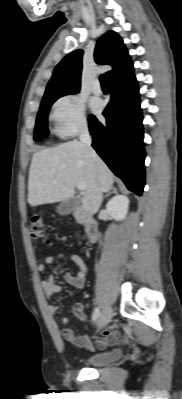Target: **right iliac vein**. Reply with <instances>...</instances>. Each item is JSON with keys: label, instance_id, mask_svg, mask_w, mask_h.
I'll list each match as a JSON object with an SVG mask.
<instances>
[{"label": "right iliac vein", "instance_id": "1", "mask_svg": "<svg viewBox=\"0 0 182 399\" xmlns=\"http://www.w3.org/2000/svg\"><path fill=\"white\" fill-rule=\"evenodd\" d=\"M112 318V310L110 307H105L100 315L99 321H98V327L102 328L106 326Z\"/></svg>", "mask_w": 182, "mask_h": 399}]
</instances>
